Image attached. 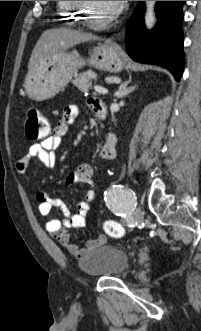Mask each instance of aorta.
Returning a JSON list of instances; mask_svg holds the SVG:
<instances>
[{
    "label": "aorta",
    "mask_w": 201,
    "mask_h": 331,
    "mask_svg": "<svg viewBox=\"0 0 201 331\" xmlns=\"http://www.w3.org/2000/svg\"><path fill=\"white\" fill-rule=\"evenodd\" d=\"M155 4L156 1H145L146 11L144 20L147 29H152L156 22Z\"/></svg>",
    "instance_id": "aorta-1"
}]
</instances>
